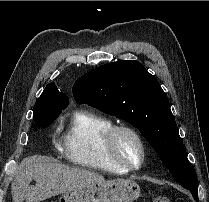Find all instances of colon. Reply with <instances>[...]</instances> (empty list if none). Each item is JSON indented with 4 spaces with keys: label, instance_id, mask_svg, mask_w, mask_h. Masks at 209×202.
Returning a JSON list of instances; mask_svg holds the SVG:
<instances>
[{
    "label": "colon",
    "instance_id": "5ec220e1",
    "mask_svg": "<svg viewBox=\"0 0 209 202\" xmlns=\"http://www.w3.org/2000/svg\"><path fill=\"white\" fill-rule=\"evenodd\" d=\"M151 202H172V201L168 197L159 196V197L154 198Z\"/></svg>",
    "mask_w": 209,
    "mask_h": 202
}]
</instances>
